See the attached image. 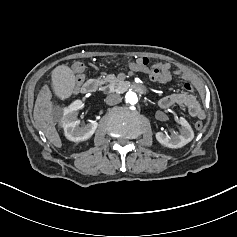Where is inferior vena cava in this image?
I'll return each mask as SVG.
<instances>
[{
	"mask_svg": "<svg viewBox=\"0 0 237 237\" xmlns=\"http://www.w3.org/2000/svg\"><path fill=\"white\" fill-rule=\"evenodd\" d=\"M122 101V98L119 94H110L106 97L105 103L107 105H116Z\"/></svg>",
	"mask_w": 237,
	"mask_h": 237,
	"instance_id": "inferior-vena-cava-1",
	"label": "inferior vena cava"
}]
</instances>
